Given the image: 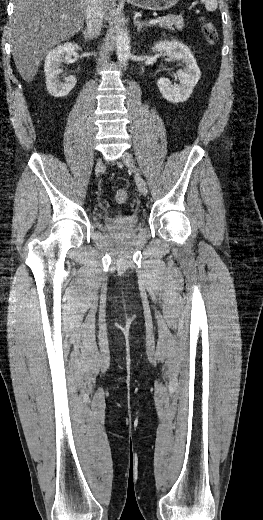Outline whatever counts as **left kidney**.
<instances>
[{"label": "left kidney", "mask_w": 263, "mask_h": 520, "mask_svg": "<svg viewBox=\"0 0 263 520\" xmlns=\"http://www.w3.org/2000/svg\"><path fill=\"white\" fill-rule=\"evenodd\" d=\"M152 50L165 52L171 61H182L185 64L183 69L177 71L179 77L178 84L173 85L167 78H160L157 84L161 94L167 101L172 103L186 101L190 97L201 75L200 69L190 49L179 41L165 40L156 43Z\"/></svg>", "instance_id": "obj_1"}]
</instances>
